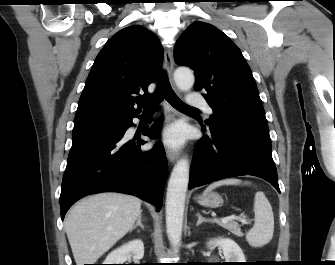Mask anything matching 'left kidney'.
Wrapping results in <instances>:
<instances>
[{
	"instance_id": "obj_1",
	"label": "left kidney",
	"mask_w": 335,
	"mask_h": 265,
	"mask_svg": "<svg viewBox=\"0 0 335 265\" xmlns=\"http://www.w3.org/2000/svg\"><path fill=\"white\" fill-rule=\"evenodd\" d=\"M207 245L211 250L216 246H220L223 250L226 262H246L241 248L230 238H217L210 240Z\"/></svg>"
}]
</instances>
